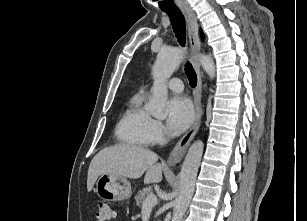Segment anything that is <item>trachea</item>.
Masks as SVG:
<instances>
[{
  "mask_svg": "<svg viewBox=\"0 0 307 221\" xmlns=\"http://www.w3.org/2000/svg\"><path fill=\"white\" fill-rule=\"evenodd\" d=\"M168 14L171 20V24L175 33V36L181 46H185L186 41V25L183 14L178 8L163 10ZM185 72L187 74L189 84L192 88L197 85V75L190 62L185 65Z\"/></svg>",
  "mask_w": 307,
  "mask_h": 221,
  "instance_id": "obj_1",
  "label": "trachea"
}]
</instances>
